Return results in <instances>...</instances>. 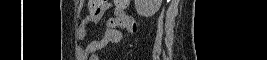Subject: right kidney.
Returning <instances> with one entry per match:
<instances>
[{
  "instance_id": "ca27d5eb",
  "label": "right kidney",
  "mask_w": 267,
  "mask_h": 60,
  "mask_svg": "<svg viewBox=\"0 0 267 60\" xmlns=\"http://www.w3.org/2000/svg\"><path fill=\"white\" fill-rule=\"evenodd\" d=\"M162 0H135V9L143 17L153 16L160 8Z\"/></svg>"
}]
</instances>
